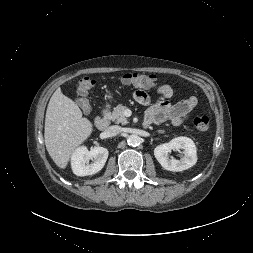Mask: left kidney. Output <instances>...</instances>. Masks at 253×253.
Listing matches in <instances>:
<instances>
[{
  "label": "left kidney",
  "instance_id": "1",
  "mask_svg": "<svg viewBox=\"0 0 253 253\" xmlns=\"http://www.w3.org/2000/svg\"><path fill=\"white\" fill-rule=\"evenodd\" d=\"M184 150L181 160L169 159L168 154L172 150ZM196 146L188 137H177L168 143L161 144L154 149V155L161 166L169 171H183L189 169L197 162Z\"/></svg>",
  "mask_w": 253,
  "mask_h": 253
}]
</instances>
